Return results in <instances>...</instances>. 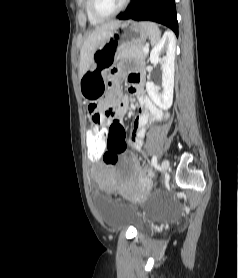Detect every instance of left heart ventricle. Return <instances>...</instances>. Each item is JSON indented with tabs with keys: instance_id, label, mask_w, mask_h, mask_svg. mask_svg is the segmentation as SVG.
Segmentation results:
<instances>
[{
	"instance_id": "left-heart-ventricle-1",
	"label": "left heart ventricle",
	"mask_w": 238,
	"mask_h": 278,
	"mask_svg": "<svg viewBox=\"0 0 238 278\" xmlns=\"http://www.w3.org/2000/svg\"><path fill=\"white\" fill-rule=\"evenodd\" d=\"M123 0H97V8L103 13L107 14L116 10Z\"/></svg>"
}]
</instances>
